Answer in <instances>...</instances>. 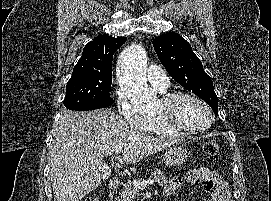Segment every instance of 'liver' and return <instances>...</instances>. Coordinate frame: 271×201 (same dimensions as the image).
I'll list each match as a JSON object with an SVG mask.
<instances>
[{
  "mask_svg": "<svg viewBox=\"0 0 271 201\" xmlns=\"http://www.w3.org/2000/svg\"><path fill=\"white\" fill-rule=\"evenodd\" d=\"M175 143L130 126L108 108L63 111L49 147L54 201H79L95 190L102 178L101 160L119 146L123 161L132 164Z\"/></svg>",
  "mask_w": 271,
  "mask_h": 201,
  "instance_id": "1",
  "label": "liver"
}]
</instances>
